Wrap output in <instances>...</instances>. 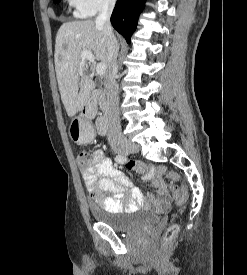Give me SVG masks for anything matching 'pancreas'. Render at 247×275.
Masks as SVG:
<instances>
[{
  "label": "pancreas",
  "mask_w": 247,
  "mask_h": 275,
  "mask_svg": "<svg viewBox=\"0 0 247 275\" xmlns=\"http://www.w3.org/2000/svg\"><path fill=\"white\" fill-rule=\"evenodd\" d=\"M98 104H99L100 109H101L102 111H106V110H107V101H106V99H105L104 96H100V97L98 98Z\"/></svg>",
  "instance_id": "pancreas-1"
}]
</instances>
